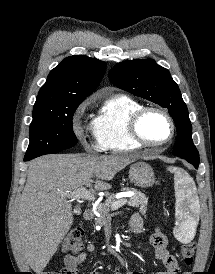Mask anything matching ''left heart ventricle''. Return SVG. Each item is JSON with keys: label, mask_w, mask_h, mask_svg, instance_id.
Segmentation results:
<instances>
[{"label": "left heart ventricle", "mask_w": 215, "mask_h": 274, "mask_svg": "<svg viewBox=\"0 0 215 274\" xmlns=\"http://www.w3.org/2000/svg\"><path fill=\"white\" fill-rule=\"evenodd\" d=\"M140 131L146 140L159 143L166 140L170 135V126L161 114L150 112L142 119Z\"/></svg>", "instance_id": "left-heart-ventricle-1"}]
</instances>
